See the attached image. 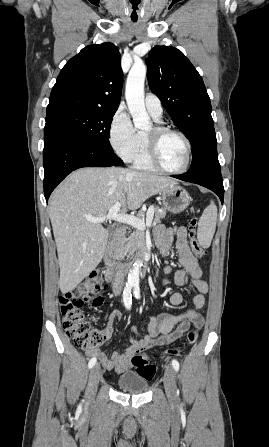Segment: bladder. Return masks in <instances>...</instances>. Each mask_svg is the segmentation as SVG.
Listing matches in <instances>:
<instances>
[{"label":"bladder","instance_id":"bladder-1","mask_svg":"<svg viewBox=\"0 0 269 447\" xmlns=\"http://www.w3.org/2000/svg\"><path fill=\"white\" fill-rule=\"evenodd\" d=\"M116 387L119 392L142 395L148 392L149 381L142 372L128 371L116 377Z\"/></svg>","mask_w":269,"mask_h":447}]
</instances>
